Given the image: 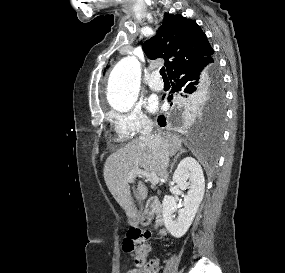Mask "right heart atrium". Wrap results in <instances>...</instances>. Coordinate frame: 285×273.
<instances>
[{"label":"right heart atrium","instance_id":"right-heart-atrium-1","mask_svg":"<svg viewBox=\"0 0 285 273\" xmlns=\"http://www.w3.org/2000/svg\"><path fill=\"white\" fill-rule=\"evenodd\" d=\"M115 130L123 139L132 138L145 132L151 125L148 116L139 106H134L126 111L112 113Z\"/></svg>","mask_w":285,"mask_h":273}]
</instances>
